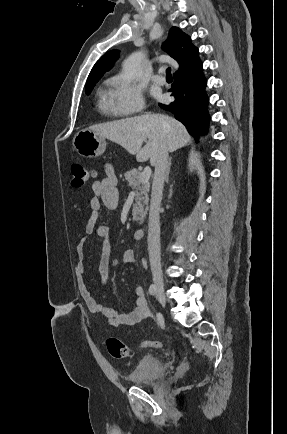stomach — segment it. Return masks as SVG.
<instances>
[{
    "label": "stomach",
    "mask_w": 287,
    "mask_h": 434,
    "mask_svg": "<svg viewBox=\"0 0 287 434\" xmlns=\"http://www.w3.org/2000/svg\"><path fill=\"white\" fill-rule=\"evenodd\" d=\"M73 146L79 155L94 158L104 153L106 141L90 129H82L74 136Z\"/></svg>",
    "instance_id": "stomach-1"
}]
</instances>
